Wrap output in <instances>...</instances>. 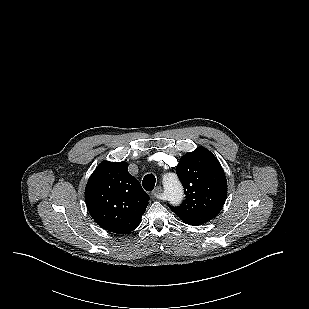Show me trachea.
I'll use <instances>...</instances> for the list:
<instances>
[{"label":"trachea","instance_id":"3493384b","mask_svg":"<svg viewBox=\"0 0 309 309\" xmlns=\"http://www.w3.org/2000/svg\"><path fill=\"white\" fill-rule=\"evenodd\" d=\"M155 182H156L155 176L153 174H147L143 178L142 185H143L145 190L152 191L154 189Z\"/></svg>","mask_w":309,"mask_h":309}]
</instances>
